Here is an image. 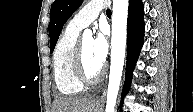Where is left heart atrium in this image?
Listing matches in <instances>:
<instances>
[{"mask_svg": "<svg viewBox=\"0 0 193 112\" xmlns=\"http://www.w3.org/2000/svg\"><path fill=\"white\" fill-rule=\"evenodd\" d=\"M93 54L97 62L103 66L108 54V41L103 28L99 29L93 40Z\"/></svg>", "mask_w": 193, "mask_h": 112, "instance_id": "39dd6f15", "label": "left heart atrium"}]
</instances>
